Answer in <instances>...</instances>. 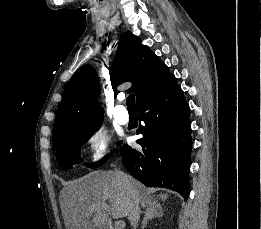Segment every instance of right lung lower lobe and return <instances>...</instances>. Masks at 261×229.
<instances>
[{
    "label": "right lung lower lobe",
    "instance_id": "1",
    "mask_svg": "<svg viewBox=\"0 0 261 229\" xmlns=\"http://www.w3.org/2000/svg\"><path fill=\"white\" fill-rule=\"evenodd\" d=\"M137 130L143 137L136 142L141 151L122 147V160L134 178L148 187H163L188 199L192 150L190 108L183 91L172 76L165 84L138 104Z\"/></svg>",
    "mask_w": 261,
    "mask_h": 229
}]
</instances>
